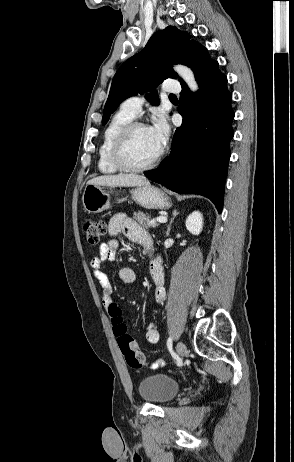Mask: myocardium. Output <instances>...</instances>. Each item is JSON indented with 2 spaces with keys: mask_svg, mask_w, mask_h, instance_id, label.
I'll list each match as a JSON object with an SVG mask.
<instances>
[{
  "mask_svg": "<svg viewBox=\"0 0 294 462\" xmlns=\"http://www.w3.org/2000/svg\"><path fill=\"white\" fill-rule=\"evenodd\" d=\"M139 128H147V126L139 121H131L120 130L111 145L110 159L119 170L133 173L150 170L157 165L163 155L161 150L155 158L144 165H133L128 161L127 146L131 136Z\"/></svg>",
  "mask_w": 294,
  "mask_h": 462,
  "instance_id": "f54148a6",
  "label": "myocardium"
}]
</instances>
